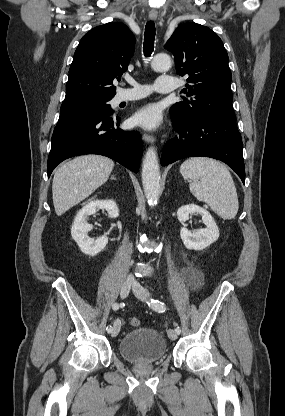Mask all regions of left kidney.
I'll use <instances>...</instances> for the list:
<instances>
[{
    "label": "left kidney",
    "instance_id": "left-kidney-1",
    "mask_svg": "<svg viewBox=\"0 0 285 416\" xmlns=\"http://www.w3.org/2000/svg\"><path fill=\"white\" fill-rule=\"evenodd\" d=\"M194 212L201 214L202 220L207 228L197 230V232H189L184 226V228H181L180 230L181 240L187 250H204V248H208V246H211L213 242L218 240V226H216V222H214L211 214H209L207 210L200 208V206H195V204L181 206V208L177 210V218L179 222L183 224V222L189 220V214H194Z\"/></svg>",
    "mask_w": 285,
    "mask_h": 416
}]
</instances>
